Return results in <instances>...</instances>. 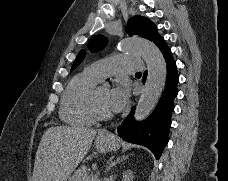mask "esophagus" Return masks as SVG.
<instances>
[{
    "label": "esophagus",
    "instance_id": "esophagus-1",
    "mask_svg": "<svg viewBox=\"0 0 228 181\" xmlns=\"http://www.w3.org/2000/svg\"><path fill=\"white\" fill-rule=\"evenodd\" d=\"M109 133L108 132H102L103 136H107Z\"/></svg>",
    "mask_w": 228,
    "mask_h": 181
}]
</instances>
